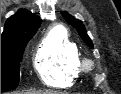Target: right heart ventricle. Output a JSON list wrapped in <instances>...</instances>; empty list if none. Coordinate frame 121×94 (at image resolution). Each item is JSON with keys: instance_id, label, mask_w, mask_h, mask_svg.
I'll return each mask as SVG.
<instances>
[{"instance_id": "right-heart-ventricle-1", "label": "right heart ventricle", "mask_w": 121, "mask_h": 94, "mask_svg": "<svg viewBox=\"0 0 121 94\" xmlns=\"http://www.w3.org/2000/svg\"><path fill=\"white\" fill-rule=\"evenodd\" d=\"M81 54L62 26L52 28L38 45L34 67L48 86L62 88L73 83L80 72Z\"/></svg>"}]
</instances>
